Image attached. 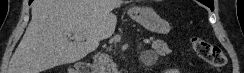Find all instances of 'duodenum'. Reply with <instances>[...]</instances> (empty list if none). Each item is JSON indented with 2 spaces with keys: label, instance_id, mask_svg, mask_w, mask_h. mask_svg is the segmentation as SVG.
<instances>
[{
  "label": "duodenum",
  "instance_id": "duodenum-1",
  "mask_svg": "<svg viewBox=\"0 0 244 73\" xmlns=\"http://www.w3.org/2000/svg\"><path fill=\"white\" fill-rule=\"evenodd\" d=\"M71 73H93V70L87 64L80 65L76 70Z\"/></svg>",
  "mask_w": 244,
  "mask_h": 73
}]
</instances>
